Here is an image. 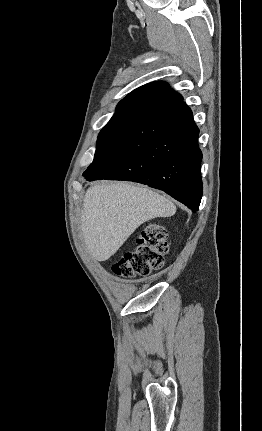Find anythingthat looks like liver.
<instances>
[{
	"label": "liver",
	"mask_w": 262,
	"mask_h": 431,
	"mask_svg": "<svg viewBox=\"0 0 262 431\" xmlns=\"http://www.w3.org/2000/svg\"><path fill=\"white\" fill-rule=\"evenodd\" d=\"M176 206L167 197L126 182L88 188L81 213V232L86 248L98 261L113 256L144 222L170 217Z\"/></svg>",
	"instance_id": "obj_1"
}]
</instances>
